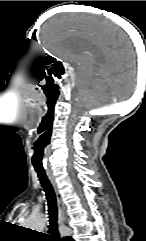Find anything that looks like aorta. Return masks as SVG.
Here are the masks:
<instances>
[{"instance_id":"762f6f07","label":"aorta","mask_w":146,"mask_h":241,"mask_svg":"<svg viewBox=\"0 0 146 241\" xmlns=\"http://www.w3.org/2000/svg\"><path fill=\"white\" fill-rule=\"evenodd\" d=\"M24 225L26 228H30L32 230H43L45 227V217L41 214L32 215L24 222Z\"/></svg>"}]
</instances>
